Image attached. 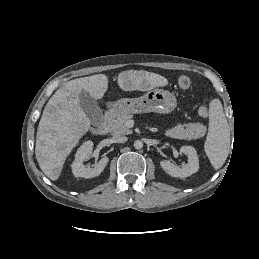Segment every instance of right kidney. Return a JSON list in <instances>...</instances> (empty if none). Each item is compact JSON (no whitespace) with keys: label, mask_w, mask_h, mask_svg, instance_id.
<instances>
[{"label":"right kidney","mask_w":259,"mask_h":259,"mask_svg":"<svg viewBox=\"0 0 259 259\" xmlns=\"http://www.w3.org/2000/svg\"><path fill=\"white\" fill-rule=\"evenodd\" d=\"M93 142L85 141L77 150L75 160L72 163V172L75 177H83L86 179L96 177L100 175L106 167L109 158L103 156L101 160L95 164L94 168H86L83 162L88 160L92 156Z\"/></svg>","instance_id":"1"}]
</instances>
